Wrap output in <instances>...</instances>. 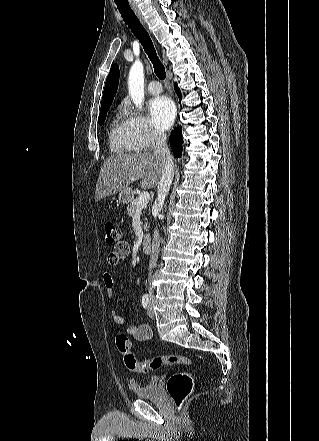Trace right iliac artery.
<instances>
[{
  "label": "right iliac artery",
  "mask_w": 319,
  "mask_h": 441,
  "mask_svg": "<svg viewBox=\"0 0 319 441\" xmlns=\"http://www.w3.org/2000/svg\"><path fill=\"white\" fill-rule=\"evenodd\" d=\"M149 304V296L148 294H144L142 297V306L143 308H147Z\"/></svg>",
  "instance_id": "obj_1"
}]
</instances>
